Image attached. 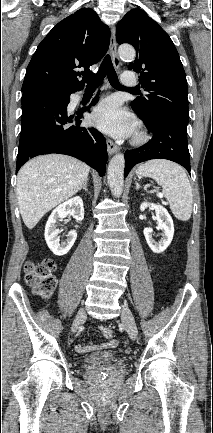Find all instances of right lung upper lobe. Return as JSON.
<instances>
[{
    "label": "right lung upper lobe",
    "instance_id": "right-lung-upper-lobe-1",
    "mask_svg": "<svg viewBox=\"0 0 213 433\" xmlns=\"http://www.w3.org/2000/svg\"><path fill=\"white\" fill-rule=\"evenodd\" d=\"M110 30L90 8H82L54 26L38 45L26 70L23 93L70 95L81 90L78 76L108 50ZM78 68L84 71L78 72Z\"/></svg>",
    "mask_w": 213,
    "mask_h": 433
}]
</instances>
